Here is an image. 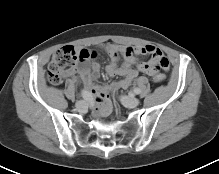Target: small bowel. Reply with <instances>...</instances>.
<instances>
[{
    "label": "small bowel",
    "mask_w": 219,
    "mask_h": 174,
    "mask_svg": "<svg viewBox=\"0 0 219 174\" xmlns=\"http://www.w3.org/2000/svg\"><path fill=\"white\" fill-rule=\"evenodd\" d=\"M102 49L109 55L111 59L110 64L106 67L107 74L110 76H124L123 79L113 82L106 87H99L94 84V80L97 78L100 72L99 63L93 61L89 65L87 60L91 56V53L85 49L78 51L82 54L88 55V57L82 59L81 65L78 69V76L83 84L89 88L91 97H93L95 101L98 110L97 114L99 116H106L111 111L109 103L106 102L107 96L119 87H129L139 72L153 76L154 72L158 71V69H169V61L167 56L152 45L131 46L121 44H106L102 46ZM138 55H150L151 63L142 64L136 68L135 65L137 64ZM120 57L123 58V63L121 65L118 64Z\"/></svg>",
    "instance_id": "c3829d8e"
}]
</instances>
